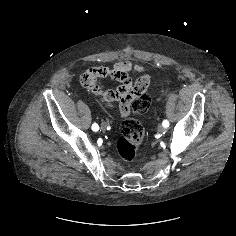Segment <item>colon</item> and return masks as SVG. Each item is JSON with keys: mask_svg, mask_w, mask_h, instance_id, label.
I'll return each instance as SVG.
<instances>
[{"mask_svg": "<svg viewBox=\"0 0 236 236\" xmlns=\"http://www.w3.org/2000/svg\"><path fill=\"white\" fill-rule=\"evenodd\" d=\"M148 86L149 83L147 88ZM147 88L145 92L140 95L137 101H135L133 105L129 107V112H132L135 115H140L148 110L150 98L147 94ZM143 137L144 129L141 122L137 118H128L124 120L121 124V136L118 138L116 143L117 151L121 158L126 161H132L138 153Z\"/></svg>", "mask_w": 236, "mask_h": 236, "instance_id": "obj_1", "label": "colon"}]
</instances>
